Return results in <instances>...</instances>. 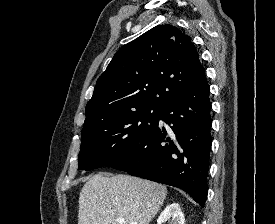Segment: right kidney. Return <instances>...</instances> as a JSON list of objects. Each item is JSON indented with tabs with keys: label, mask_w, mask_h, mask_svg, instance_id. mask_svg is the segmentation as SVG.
Masks as SVG:
<instances>
[{
	"label": "right kidney",
	"mask_w": 275,
	"mask_h": 224,
	"mask_svg": "<svg viewBox=\"0 0 275 224\" xmlns=\"http://www.w3.org/2000/svg\"><path fill=\"white\" fill-rule=\"evenodd\" d=\"M184 224L185 218L178 203L168 205L157 219V224Z\"/></svg>",
	"instance_id": "right-kidney-1"
}]
</instances>
